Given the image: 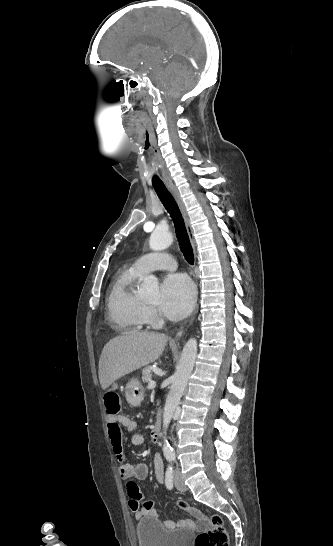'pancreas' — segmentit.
Masks as SVG:
<instances>
[{
    "label": "pancreas",
    "mask_w": 333,
    "mask_h": 546,
    "mask_svg": "<svg viewBox=\"0 0 333 546\" xmlns=\"http://www.w3.org/2000/svg\"><path fill=\"white\" fill-rule=\"evenodd\" d=\"M151 366H146L143 370H142V376H141V379L143 382L145 383H149L151 380H152V371H151Z\"/></svg>",
    "instance_id": "1"
}]
</instances>
